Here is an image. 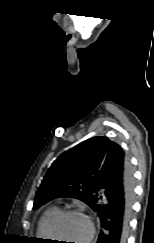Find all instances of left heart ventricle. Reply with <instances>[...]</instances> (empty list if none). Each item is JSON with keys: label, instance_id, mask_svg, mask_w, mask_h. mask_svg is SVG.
I'll return each mask as SVG.
<instances>
[{"label": "left heart ventricle", "instance_id": "left-heart-ventricle-1", "mask_svg": "<svg viewBox=\"0 0 154 243\" xmlns=\"http://www.w3.org/2000/svg\"><path fill=\"white\" fill-rule=\"evenodd\" d=\"M88 232L87 221L77 215L62 218L55 226L53 235L66 243V240H73V243H83ZM68 242V241H67Z\"/></svg>", "mask_w": 154, "mask_h": 243}]
</instances>
